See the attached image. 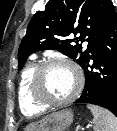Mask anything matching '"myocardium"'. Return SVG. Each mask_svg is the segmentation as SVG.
Returning a JSON list of instances; mask_svg holds the SVG:
<instances>
[{
  "instance_id": "myocardium-1",
  "label": "myocardium",
  "mask_w": 117,
  "mask_h": 131,
  "mask_svg": "<svg viewBox=\"0 0 117 131\" xmlns=\"http://www.w3.org/2000/svg\"><path fill=\"white\" fill-rule=\"evenodd\" d=\"M66 66L76 75L77 84L73 93L62 100H51L45 97L41 91V81L45 71L53 66ZM84 85V77L79 67L66 59H49L40 63L34 70L30 82V94L34 102L43 107H61L72 103L81 93Z\"/></svg>"
}]
</instances>
